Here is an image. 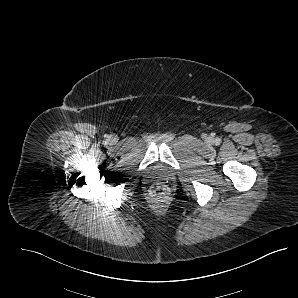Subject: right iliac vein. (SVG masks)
<instances>
[{"label":"right iliac vein","instance_id":"1","mask_svg":"<svg viewBox=\"0 0 298 298\" xmlns=\"http://www.w3.org/2000/svg\"><path fill=\"white\" fill-rule=\"evenodd\" d=\"M111 140L114 141V140H115V137L112 136V137H111Z\"/></svg>","mask_w":298,"mask_h":298}]
</instances>
